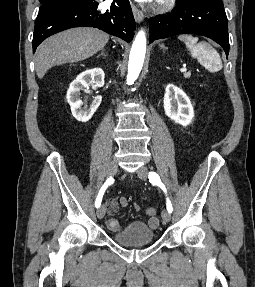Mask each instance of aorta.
<instances>
[{"label":"aorta","mask_w":255,"mask_h":287,"mask_svg":"<svg viewBox=\"0 0 255 287\" xmlns=\"http://www.w3.org/2000/svg\"><path fill=\"white\" fill-rule=\"evenodd\" d=\"M146 53V36L144 31L136 35L129 55L127 84L132 85L140 74Z\"/></svg>","instance_id":"1"}]
</instances>
